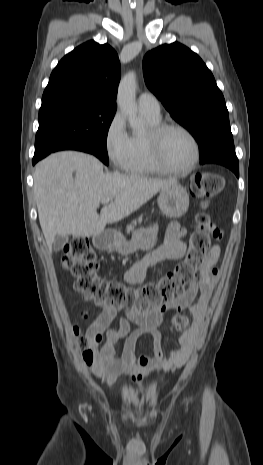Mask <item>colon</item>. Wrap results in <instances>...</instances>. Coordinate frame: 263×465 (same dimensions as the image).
Returning a JSON list of instances; mask_svg holds the SVG:
<instances>
[{
  "mask_svg": "<svg viewBox=\"0 0 263 465\" xmlns=\"http://www.w3.org/2000/svg\"><path fill=\"white\" fill-rule=\"evenodd\" d=\"M224 178L216 173L201 172L190 182L191 194L203 201L217 195L224 187ZM195 231L190 237L185 258L168 271L157 282L141 287H128L120 282L105 280L98 276L99 262L96 253L85 238H75L64 248L62 268L75 277L74 287L87 299L106 306L136 312H146L183 294L197 279L206 254L211 246V235L217 230L211 218L200 213L196 217ZM173 325L179 330L188 326V318L182 314L174 317ZM79 347L85 362L92 366L96 360V349L102 335L93 326L82 332L75 328Z\"/></svg>",
  "mask_w": 263,
  "mask_h": 465,
  "instance_id": "obj_1",
  "label": "colon"
}]
</instances>
